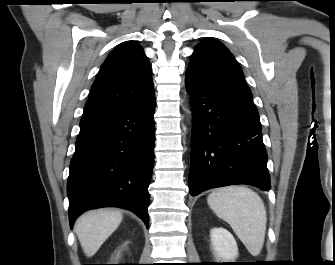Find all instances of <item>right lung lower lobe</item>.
Masks as SVG:
<instances>
[{"label": "right lung lower lobe", "mask_w": 335, "mask_h": 265, "mask_svg": "<svg viewBox=\"0 0 335 265\" xmlns=\"http://www.w3.org/2000/svg\"><path fill=\"white\" fill-rule=\"evenodd\" d=\"M155 99L83 116L67 183L69 220L99 207L135 212L149 227Z\"/></svg>", "instance_id": "obj_1"}]
</instances>
